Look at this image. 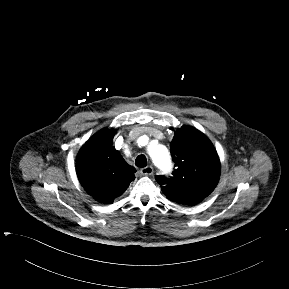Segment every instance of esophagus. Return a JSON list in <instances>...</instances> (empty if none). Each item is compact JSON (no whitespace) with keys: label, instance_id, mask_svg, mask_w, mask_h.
<instances>
[{"label":"esophagus","instance_id":"obj_1","mask_svg":"<svg viewBox=\"0 0 289 289\" xmlns=\"http://www.w3.org/2000/svg\"><path fill=\"white\" fill-rule=\"evenodd\" d=\"M140 173L145 176H149L153 173L152 166H146L140 170Z\"/></svg>","mask_w":289,"mask_h":289}]
</instances>
